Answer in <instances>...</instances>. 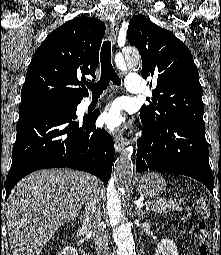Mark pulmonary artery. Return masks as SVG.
<instances>
[{"instance_id":"1","label":"pulmonary artery","mask_w":221,"mask_h":255,"mask_svg":"<svg viewBox=\"0 0 221 255\" xmlns=\"http://www.w3.org/2000/svg\"><path fill=\"white\" fill-rule=\"evenodd\" d=\"M126 90L131 93H140L143 91V79L139 74L130 73L126 76Z\"/></svg>"}]
</instances>
